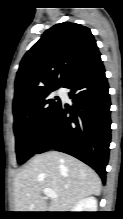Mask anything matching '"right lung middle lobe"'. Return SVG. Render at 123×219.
Instances as JSON below:
<instances>
[{
    "label": "right lung middle lobe",
    "instance_id": "dd1d6c3e",
    "mask_svg": "<svg viewBox=\"0 0 123 219\" xmlns=\"http://www.w3.org/2000/svg\"><path fill=\"white\" fill-rule=\"evenodd\" d=\"M51 88L13 104L16 153L19 164L33 156L41 143L43 134L61 105Z\"/></svg>",
    "mask_w": 123,
    "mask_h": 219
}]
</instances>
